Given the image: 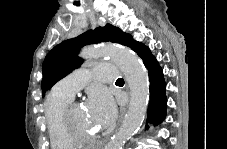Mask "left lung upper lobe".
I'll use <instances>...</instances> for the list:
<instances>
[{
	"mask_svg": "<svg viewBox=\"0 0 227 149\" xmlns=\"http://www.w3.org/2000/svg\"><path fill=\"white\" fill-rule=\"evenodd\" d=\"M130 34H127L111 24L89 30L75 38L63 41L55 46L43 62V79L41 82L42 95L57 81L78 68L82 63L77 56L78 51L85 45L100 42H116L127 45Z\"/></svg>",
	"mask_w": 227,
	"mask_h": 149,
	"instance_id": "5c2ea615",
	"label": "left lung upper lobe"
}]
</instances>
